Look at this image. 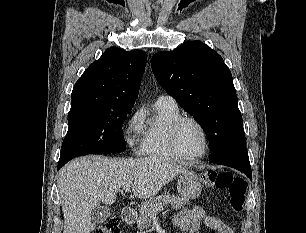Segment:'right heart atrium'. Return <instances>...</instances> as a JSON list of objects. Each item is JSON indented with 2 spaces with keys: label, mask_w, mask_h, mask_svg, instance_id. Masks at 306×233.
I'll list each match as a JSON object with an SVG mask.
<instances>
[{
  "label": "right heart atrium",
  "mask_w": 306,
  "mask_h": 233,
  "mask_svg": "<svg viewBox=\"0 0 306 233\" xmlns=\"http://www.w3.org/2000/svg\"><path fill=\"white\" fill-rule=\"evenodd\" d=\"M143 137V112L141 109H137L129 116L126 122L124 128V138L132 151L135 153H141Z\"/></svg>",
  "instance_id": "d8ad5b80"
}]
</instances>
